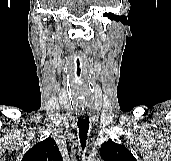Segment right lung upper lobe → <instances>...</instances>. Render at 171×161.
Masks as SVG:
<instances>
[{
	"mask_svg": "<svg viewBox=\"0 0 171 161\" xmlns=\"http://www.w3.org/2000/svg\"><path fill=\"white\" fill-rule=\"evenodd\" d=\"M22 161H62V157L55 140L49 137L29 149Z\"/></svg>",
	"mask_w": 171,
	"mask_h": 161,
	"instance_id": "right-lung-upper-lobe-1",
	"label": "right lung upper lobe"
}]
</instances>
